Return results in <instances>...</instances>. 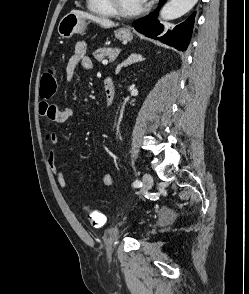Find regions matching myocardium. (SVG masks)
<instances>
[{
    "label": "myocardium",
    "instance_id": "obj_1",
    "mask_svg": "<svg viewBox=\"0 0 249 294\" xmlns=\"http://www.w3.org/2000/svg\"><path fill=\"white\" fill-rule=\"evenodd\" d=\"M111 10L114 12L115 15L122 16V17H133L136 15L141 14L145 10V6H141L139 9L136 10H125L119 5L118 0H106Z\"/></svg>",
    "mask_w": 249,
    "mask_h": 294
}]
</instances>
